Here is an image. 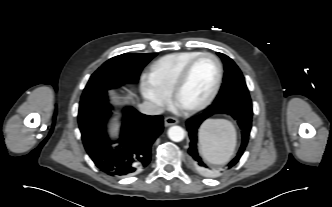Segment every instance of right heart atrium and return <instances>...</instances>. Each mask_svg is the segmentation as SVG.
Wrapping results in <instances>:
<instances>
[{
    "label": "right heart atrium",
    "mask_w": 332,
    "mask_h": 207,
    "mask_svg": "<svg viewBox=\"0 0 332 207\" xmlns=\"http://www.w3.org/2000/svg\"><path fill=\"white\" fill-rule=\"evenodd\" d=\"M141 90H142L143 96L148 101L153 103L156 106V108H158L159 110L164 109L170 101V98L168 95L164 94L163 92L159 91L154 86H152L147 81V79L142 80Z\"/></svg>",
    "instance_id": "obj_1"
}]
</instances>
